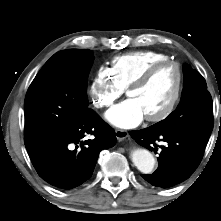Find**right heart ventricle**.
<instances>
[{"instance_id":"obj_1","label":"right heart ventricle","mask_w":221,"mask_h":221,"mask_svg":"<svg viewBox=\"0 0 221 221\" xmlns=\"http://www.w3.org/2000/svg\"><path fill=\"white\" fill-rule=\"evenodd\" d=\"M168 59V55L152 50L126 53L111 60L109 71L116 82L127 89L149 66Z\"/></svg>"}]
</instances>
